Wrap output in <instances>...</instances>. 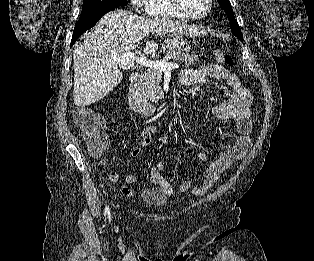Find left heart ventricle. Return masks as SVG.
I'll use <instances>...</instances> for the list:
<instances>
[{
	"instance_id": "obj_1",
	"label": "left heart ventricle",
	"mask_w": 314,
	"mask_h": 261,
	"mask_svg": "<svg viewBox=\"0 0 314 261\" xmlns=\"http://www.w3.org/2000/svg\"><path fill=\"white\" fill-rule=\"evenodd\" d=\"M185 8L193 14H202L208 8V0H182Z\"/></svg>"
}]
</instances>
